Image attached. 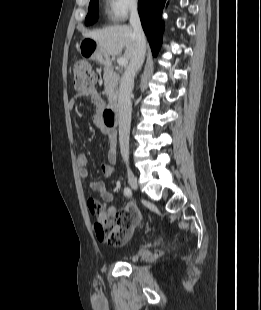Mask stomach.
Here are the masks:
<instances>
[{
    "label": "stomach",
    "mask_w": 261,
    "mask_h": 310,
    "mask_svg": "<svg viewBox=\"0 0 261 310\" xmlns=\"http://www.w3.org/2000/svg\"><path fill=\"white\" fill-rule=\"evenodd\" d=\"M80 54L92 61H102L103 54L100 52L99 46L93 39H83L79 45Z\"/></svg>",
    "instance_id": "stomach-1"
}]
</instances>
